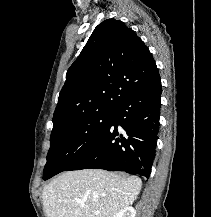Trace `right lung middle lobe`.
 I'll use <instances>...</instances> for the list:
<instances>
[{
  "label": "right lung middle lobe",
  "instance_id": "dd1d6c3e",
  "mask_svg": "<svg viewBox=\"0 0 211 217\" xmlns=\"http://www.w3.org/2000/svg\"><path fill=\"white\" fill-rule=\"evenodd\" d=\"M113 118L114 110H97L54 127L43 179L67 170L82 158L102 138Z\"/></svg>",
  "mask_w": 211,
  "mask_h": 217
}]
</instances>
